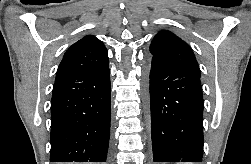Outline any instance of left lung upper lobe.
<instances>
[{
    "instance_id": "1",
    "label": "left lung upper lobe",
    "mask_w": 251,
    "mask_h": 164,
    "mask_svg": "<svg viewBox=\"0 0 251 164\" xmlns=\"http://www.w3.org/2000/svg\"><path fill=\"white\" fill-rule=\"evenodd\" d=\"M150 59L161 60L200 75L192 49L169 31H161L155 35L150 45Z\"/></svg>"
}]
</instances>
